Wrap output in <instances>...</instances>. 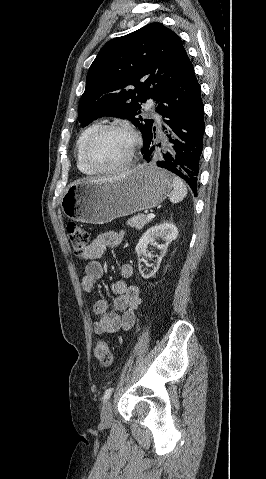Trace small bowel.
Returning <instances> with one entry per match:
<instances>
[{"instance_id": "1", "label": "small bowel", "mask_w": 266, "mask_h": 479, "mask_svg": "<svg viewBox=\"0 0 266 479\" xmlns=\"http://www.w3.org/2000/svg\"><path fill=\"white\" fill-rule=\"evenodd\" d=\"M123 241V233L109 231L98 234L88 245L84 258L87 260L85 274L81 285L85 292L96 291V283L103 277L104 269L98 261L107 248L119 247ZM123 279L115 281L113 290L114 311H109L108 301L104 298L98 299L93 305V311L97 315L94 322V329L97 334H112L118 331L130 330L136 319V311L141 304L140 290L135 285H129L124 279L133 274L132 265L123 263L119 268Z\"/></svg>"}]
</instances>
